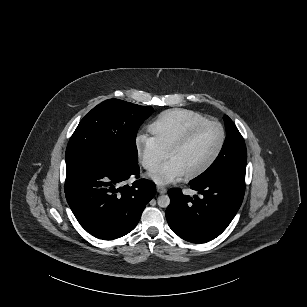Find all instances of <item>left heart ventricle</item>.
<instances>
[{"mask_svg": "<svg viewBox=\"0 0 307 307\" xmlns=\"http://www.w3.org/2000/svg\"><path fill=\"white\" fill-rule=\"evenodd\" d=\"M222 129L210 126L183 149L169 155L168 161L174 163L184 175H188L203 167L215 154L222 141Z\"/></svg>", "mask_w": 307, "mask_h": 307, "instance_id": "1", "label": "left heart ventricle"}]
</instances>
